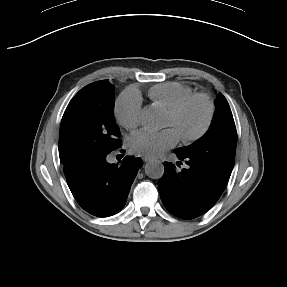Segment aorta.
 <instances>
[{
  "mask_svg": "<svg viewBox=\"0 0 287 287\" xmlns=\"http://www.w3.org/2000/svg\"><path fill=\"white\" fill-rule=\"evenodd\" d=\"M145 174L152 179H160L164 174V165L159 160L150 161L145 165Z\"/></svg>",
  "mask_w": 287,
  "mask_h": 287,
  "instance_id": "obj_1",
  "label": "aorta"
}]
</instances>
